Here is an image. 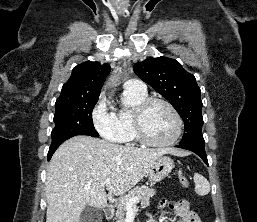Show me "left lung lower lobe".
Segmentation results:
<instances>
[{
	"mask_svg": "<svg viewBox=\"0 0 257 222\" xmlns=\"http://www.w3.org/2000/svg\"><path fill=\"white\" fill-rule=\"evenodd\" d=\"M176 147L186 149V150H190V151L196 153L208 165V160H207V156H206V152H205V146H201V145H185V146L177 145Z\"/></svg>",
	"mask_w": 257,
	"mask_h": 222,
	"instance_id": "1",
	"label": "left lung lower lobe"
}]
</instances>
